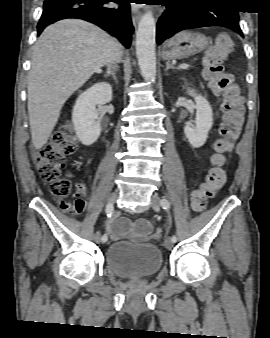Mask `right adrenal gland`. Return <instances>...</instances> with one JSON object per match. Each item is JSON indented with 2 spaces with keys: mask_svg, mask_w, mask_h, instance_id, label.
<instances>
[{
  "mask_svg": "<svg viewBox=\"0 0 270 338\" xmlns=\"http://www.w3.org/2000/svg\"><path fill=\"white\" fill-rule=\"evenodd\" d=\"M118 70V66L117 65H111V64H108L107 65V70L104 74L105 77H113V79L115 81H117V78H116V72Z\"/></svg>",
  "mask_w": 270,
  "mask_h": 338,
  "instance_id": "2a0ac1e0",
  "label": "right adrenal gland"
}]
</instances>
